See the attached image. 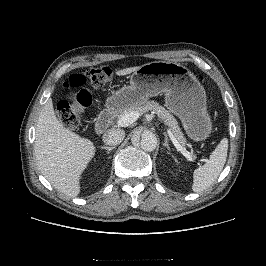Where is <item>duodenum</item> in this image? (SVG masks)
<instances>
[{"instance_id": "duodenum-1", "label": "duodenum", "mask_w": 266, "mask_h": 266, "mask_svg": "<svg viewBox=\"0 0 266 266\" xmlns=\"http://www.w3.org/2000/svg\"><path fill=\"white\" fill-rule=\"evenodd\" d=\"M115 111L113 108H106L100 112L95 123V129L98 134H102L109 127Z\"/></svg>"}]
</instances>
